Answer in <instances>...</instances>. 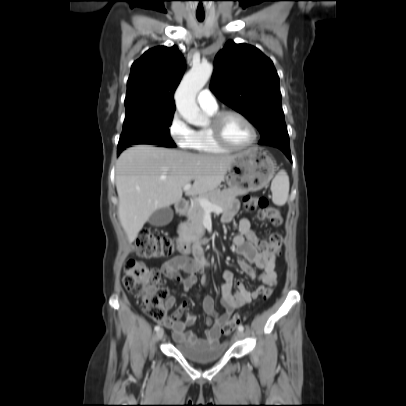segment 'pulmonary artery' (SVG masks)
<instances>
[{
	"instance_id": "1",
	"label": "pulmonary artery",
	"mask_w": 406,
	"mask_h": 406,
	"mask_svg": "<svg viewBox=\"0 0 406 406\" xmlns=\"http://www.w3.org/2000/svg\"><path fill=\"white\" fill-rule=\"evenodd\" d=\"M197 101H198V104L200 105V107L203 109L214 110V109H217V107H218L215 96L207 88L202 89L199 92V94L197 96Z\"/></svg>"
}]
</instances>
